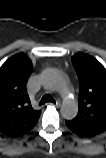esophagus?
Masks as SVG:
<instances>
[{
    "label": "esophagus",
    "instance_id": "esophagus-1",
    "mask_svg": "<svg viewBox=\"0 0 106 158\" xmlns=\"http://www.w3.org/2000/svg\"><path fill=\"white\" fill-rule=\"evenodd\" d=\"M49 105H54L56 107H60L61 106V101H56L55 103H52V102H48Z\"/></svg>",
    "mask_w": 106,
    "mask_h": 158
}]
</instances>
